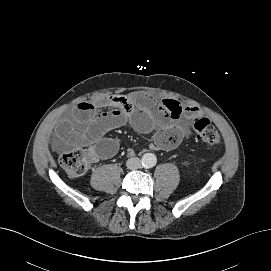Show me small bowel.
<instances>
[{
	"instance_id": "1",
	"label": "small bowel",
	"mask_w": 271,
	"mask_h": 271,
	"mask_svg": "<svg viewBox=\"0 0 271 271\" xmlns=\"http://www.w3.org/2000/svg\"><path fill=\"white\" fill-rule=\"evenodd\" d=\"M103 108L110 111L102 112ZM199 113L197 107L182 106L174 99L157 100L143 91L97 97L77 103L70 115L58 124L54 146L57 149L84 146L89 148L93 161L108 159L118 152L119 145L106 134L130 122L142 133L156 130L154 146L169 150L191 134L180 119Z\"/></svg>"
}]
</instances>
